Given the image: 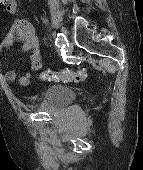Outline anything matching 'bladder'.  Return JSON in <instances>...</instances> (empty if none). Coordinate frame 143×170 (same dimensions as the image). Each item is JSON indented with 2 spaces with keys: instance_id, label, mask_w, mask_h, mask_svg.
I'll return each instance as SVG.
<instances>
[{
  "instance_id": "obj_1",
  "label": "bladder",
  "mask_w": 143,
  "mask_h": 170,
  "mask_svg": "<svg viewBox=\"0 0 143 170\" xmlns=\"http://www.w3.org/2000/svg\"><path fill=\"white\" fill-rule=\"evenodd\" d=\"M43 99L48 107L60 109L70 105L75 99V94L69 87L50 85L45 89Z\"/></svg>"
}]
</instances>
